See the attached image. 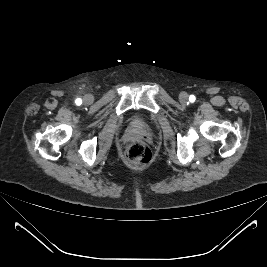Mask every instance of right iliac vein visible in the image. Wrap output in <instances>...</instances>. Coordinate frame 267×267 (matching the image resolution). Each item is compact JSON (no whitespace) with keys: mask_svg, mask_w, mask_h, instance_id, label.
Here are the masks:
<instances>
[{"mask_svg":"<svg viewBox=\"0 0 267 267\" xmlns=\"http://www.w3.org/2000/svg\"><path fill=\"white\" fill-rule=\"evenodd\" d=\"M91 101H92V97L90 95H87L84 97V103L88 104V103H91Z\"/></svg>","mask_w":267,"mask_h":267,"instance_id":"1","label":"right iliac vein"}]
</instances>
